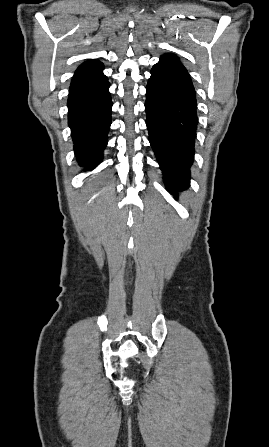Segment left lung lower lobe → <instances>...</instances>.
I'll return each instance as SVG.
<instances>
[{"instance_id":"obj_1","label":"left lung lower lobe","mask_w":269,"mask_h":447,"mask_svg":"<svg viewBox=\"0 0 269 447\" xmlns=\"http://www.w3.org/2000/svg\"><path fill=\"white\" fill-rule=\"evenodd\" d=\"M196 95L185 67L173 54L160 57L146 87L149 141L168 190L190 185L198 118Z\"/></svg>"}]
</instances>
